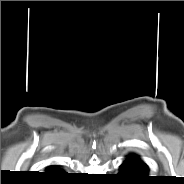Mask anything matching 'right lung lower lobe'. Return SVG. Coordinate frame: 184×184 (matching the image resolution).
<instances>
[{
    "instance_id": "98d812e1",
    "label": "right lung lower lobe",
    "mask_w": 184,
    "mask_h": 184,
    "mask_svg": "<svg viewBox=\"0 0 184 184\" xmlns=\"http://www.w3.org/2000/svg\"><path fill=\"white\" fill-rule=\"evenodd\" d=\"M47 173L51 174L53 176H59V175L65 174L63 171H60L59 168H57L55 166H52V167L48 168Z\"/></svg>"
}]
</instances>
